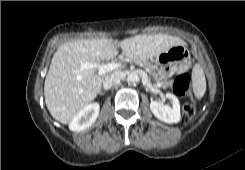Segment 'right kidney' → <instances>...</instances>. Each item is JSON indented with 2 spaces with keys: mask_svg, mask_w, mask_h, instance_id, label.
<instances>
[{
  "mask_svg": "<svg viewBox=\"0 0 245 170\" xmlns=\"http://www.w3.org/2000/svg\"><path fill=\"white\" fill-rule=\"evenodd\" d=\"M100 111L98 103H91L80 110L70 121L69 129L80 132L89 128L96 121Z\"/></svg>",
  "mask_w": 245,
  "mask_h": 170,
  "instance_id": "1",
  "label": "right kidney"
}]
</instances>
